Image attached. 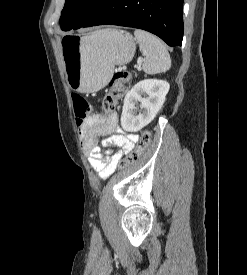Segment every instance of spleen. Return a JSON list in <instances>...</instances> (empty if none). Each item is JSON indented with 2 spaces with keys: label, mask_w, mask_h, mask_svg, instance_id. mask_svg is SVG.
I'll use <instances>...</instances> for the list:
<instances>
[{
  "label": "spleen",
  "mask_w": 247,
  "mask_h": 275,
  "mask_svg": "<svg viewBox=\"0 0 247 275\" xmlns=\"http://www.w3.org/2000/svg\"><path fill=\"white\" fill-rule=\"evenodd\" d=\"M134 35L139 49L145 55L143 70L147 74L163 73L170 69L171 58L165 44L151 33L136 29Z\"/></svg>",
  "instance_id": "spleen-1"
}]
</instances>
